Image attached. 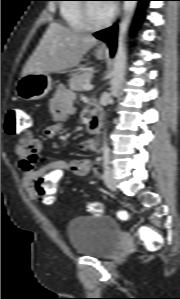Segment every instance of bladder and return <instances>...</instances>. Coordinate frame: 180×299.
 <instances>
[{
  "mask_svg": "<svg viewBox=\"0 0 180 299\" xmlns=\"http://www.w3.org/2000/svg\"><path fill=\"white\" fill-rule=\"evenodd\" d=\"M66 234L73 250L94 258L109 257L121 243V228L109 216L81 215L66 226Z\"/></svg>",
  "mask_w": 180,
  "mask_h": 299,
  "instance_id": "31cf9c89",
  "label": "bladder"
}]
</instances>
